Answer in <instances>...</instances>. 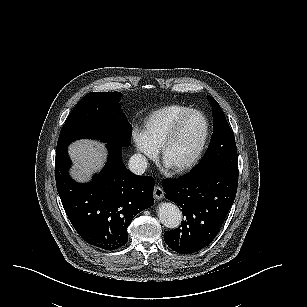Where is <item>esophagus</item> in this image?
I'll list each match as a JSON object with an SVG mask.
<instances>
[{
  "label": "esophagus",
  "instance_id": "esophagus-1",
  "mask_svg": "<svg viewBox=\"0 0 307 307\" xmlns=\"http://www.w3.org/2000/svg\"><path fill=\"white\" fill-rule=\"evenodd\" d=\"M154 197L157 200H160L164 197V192L163 189L159 186H155L154 187Z\"/></svg>",
  "mask_w": 307,
  "mask_h": 307
}]
</instances>
